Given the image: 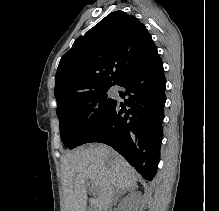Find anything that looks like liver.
Segmentation results:
<instances>
[{
  "mask_svg": "<svg viewBox=\"0 0 219 211\" xmlns=\"http://www.w3.org/2000/svg\"><path fill=\"white\" fill-rule=\"evenodd\" d=\"M61 169L66 211H109L117 191L137 187L136 169L108 145L91 143L87 149L69 151ZM86 179L98 187L96 197H88Z\"/></svg>",
  "mask_w": 219,
  "mask_h": 211,
  "instance_id": "1",
  "label": "liver"
}]
</instances>
